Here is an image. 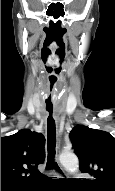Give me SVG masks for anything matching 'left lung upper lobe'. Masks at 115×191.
<instances>
[{"mask_svg": "<svg viewBox=\"0 0 115 191\" xmlns=\"http://www.w3.org/2000/svg\"><path fill=\"white\" fill-rule=\"evenodd\" d=\"M69 136L81 172L93 177L84 183L95 190L115 191V138L83 125L75 126Z\"/></svg>", "mask_w": 115, "mask_h": 191, "instance_id": "obj_1", "label": "left lung upper lobe"}]
</instances>
